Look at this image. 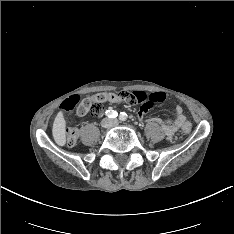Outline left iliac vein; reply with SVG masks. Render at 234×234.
<instances>
[{"label":"left iliac vein","instance_id":"4c4485c4","mask_svg":"<svg viewBox=\"0 0 234 234\" xmlns=\"http://www.w3.org/2000/svg\"><path fill=\"white\" fill-rule=\"evenodd\" d=\"M114 123H117V121H116V120H114Z\"/></svg>","mask_w":234,"mask_h":234}]
</instances>
